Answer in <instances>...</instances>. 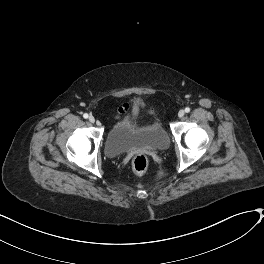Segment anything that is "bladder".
<instances>
[{
    "label": "bladder",
    "instance_id": "31cf9c89",
    "mask_svg": "<svg viewBox=\"0 0 264 264\" xmlns=\"http://www.w3.org/2000/svg\"><path fill=\"white\" fill-rule=\"evenodd\" d=\"M169 147V136L158 121L117 122L107 134L104 150L115 158L134 149L164 151Z\"/></svg>",
    "mask_w": 264,
    "mask_h": 264
}]
</instances>
